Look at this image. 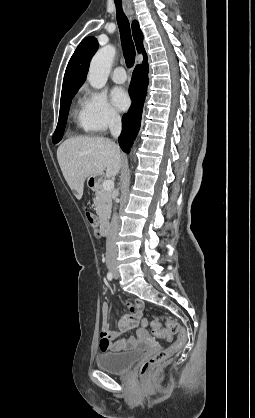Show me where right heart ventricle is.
<instances>
[{
    "label": "right heart ventricle",
    "instance_id": "e07e8e85",
    "mask_svg": "<svg viewBox=\"0 0 255 418\" xmlns=\"http://www.w3.org/2000/svg\"><path fill=\"white\" fill-rule=\"evenodd\" d=\"M75 116H76V118H77V120H78L79 124L82 126V122H81V112H80V113H78L77 111H75Z\"/></svg>",
    "mask_w": 255,
    "mask_h": 418
}]
</instances>
